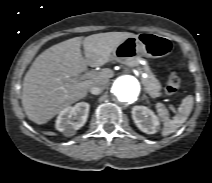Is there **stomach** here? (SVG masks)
<instances>
[{"label": "stomach", "instance_id": "obj_1", "mask_svg": "<svg viewBox=\"0 0 212 183\" xmlns=\"http://www.w3.org/2000/svg\"><path fill=\"white\" fill-rule=\"evenodd\" d=\"M174 49L171 38L152 32H143L124 40L112 53L114 60L126 63L137 55L147 58H161Z\"/></svg>", "mask_w": 212, "mask_h": 183}]
</instances>
